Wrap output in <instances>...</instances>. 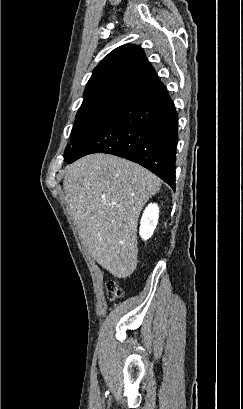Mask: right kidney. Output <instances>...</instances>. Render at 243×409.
Wrapping results in <instances>:
<instances>
[{"label":"right kidney","instance_id":"1","mask_svg":"<svg viewBox=\"0 0 243 409\" xmlns=\"http://www.w3.org/2000/svg\"><path fill=\"white\" fill-rule=\"evenodd\" d=\"M159 218V207L155 203H150L144 210L139 234L143 240L149 239L157 226Z\"/></svg>","mask_w":243,"mask_h":409}]
</instances>
